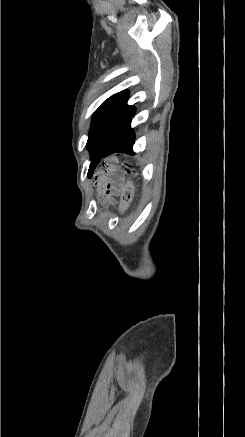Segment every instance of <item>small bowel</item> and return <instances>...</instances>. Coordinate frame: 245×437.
I'll return each instance as SVG.
<instances>
[{"label":"small bowel","instance_id":"obj_1","mask_svg":"<svg viewBox=\"0 0 245 437\" xmlns=\"http://www.w3.org/2000/svg\"><path fill=\"white\" fill-rule=\"evenodd\" d=\"M109 168V165L106 163V162H103L101 165H100V168L97 170V171H94L92 174H91V177L94 179V180H104L105 179V177H106V172H107V169Z\"/></svg>","mask_w":245,"mask_h":437}]
</instances>
